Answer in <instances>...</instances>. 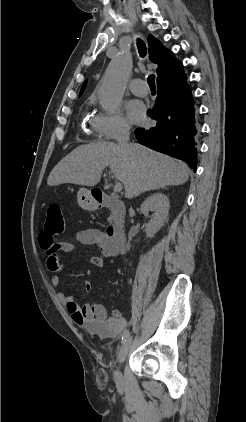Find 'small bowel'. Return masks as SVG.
I'll list each match as a JSON object with an SVG mask.
<instances>
[{"label":"small bowel","mask_w":246,"mask_h":422,"mask_svg":"<svg viewBox=\"0 0 246 422\" xmlns=\"http://www.w3.org/2000/svg\"><path fill=\"white\" fill-rule=\"evenodd\" d=\"M76 238L83 245H97L99 247L102 256L89 258V263L95 267L102 268L106 258L115 257L118 254V250L108 234L101 230L86 228L80 230ZM39 244L46 253L47 267L53 272L51 283L58 287L61 282L59 273L62 268L59 253L73 252L75 246L70 242L57 241L55 235L50 234L46 229L39 234ZM92 288L91 282L85 283L87 291H91ZM57 296L70 313L73 321L90 333L105 338H115L127 326L126 318L119 311H114L109 316L107 309L101 304H86L79 307L71 296L61 291L58 292Z\"/></svg>","instance_id":"1"}]
</instances>
